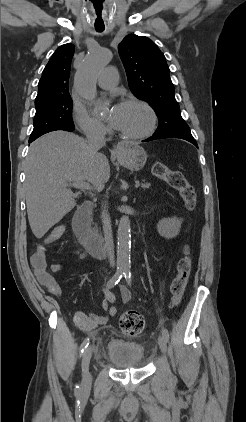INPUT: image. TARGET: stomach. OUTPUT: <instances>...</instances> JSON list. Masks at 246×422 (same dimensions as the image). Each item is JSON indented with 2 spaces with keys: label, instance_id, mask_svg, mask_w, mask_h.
Here are the masks:
<instances>
[{
  "label": "stomach",
  "instance_id": "0dacf381",
  "mask_svg": "<svg viewBox=\"0 0 246 422\" xmlns=\"http://www.w3.org/2000/svg\"><path fill=\"white\" fill-rule=\"evenodd\" d=\"M116 155L119 163L132 171L141 170L148 157L144 148L134 142L121 143Z\"/></svg>",
  "mask_w": 246,
  "mask_h": 422
}]
</instances>
